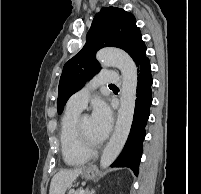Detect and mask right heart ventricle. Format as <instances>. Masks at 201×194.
I'll return each instance as SVG.
<instances>
[{
  "label": "right heart ventricle",
  "instance_id": "obj_1",
  "mask_svg": "<svg viewBox=\"0 0 201 194\" xmlns=\"http://www.w3.org/2000/svg\"><path fill=\"white\" fill-rule=\"evenodd\" d=\"M81 110L67 106L60 123V147L63 160L68 165H80L85 163L90 154L85 152L79 144L76 123Z\"/></svg>",
  "mask_w": 201,
  "mask_h": 194
}]
</instances>
